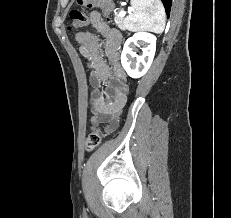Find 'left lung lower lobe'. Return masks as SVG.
Instances as JSON below:
<instances>
[{
    "mask_svg": "<svg viewBox=\"0 0 231 218\" xmlns=\"http://www.w3.org/2000/svg\"><path fill=\"white\" fill-rule=\"evenodd\" d=\"M162 3L164 4L167 16H169L170 14V8H171V4H172V0H161Z\"/></svg>",
    "mask_w": 231,
    "mask_h": 218,
    "instance_id": "0a47b994",
    "label": "left lung lower lobe"
}]
</instances>
